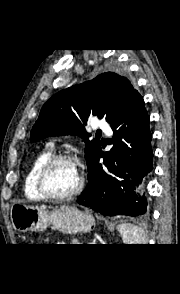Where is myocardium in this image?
<instances>
[{
    "mask_svg": "<svg viewBox=\"0 0 180 294\" xmlns=\"http://www.w3.org/2000/svg\"><path fill=\"white\" fill-rule=\"evenodd\" d=\"M61 162H69L76 166L79 173V182L77 187L72 190L71 192H68L66 194H54L47 190L46 188V177L50 170L58 163ZM85 186V177L82 174V172L79 170L76 159L68 154H58V155H52L38 170L37 176H36V188L39 192V194L49 200H55V201H61V200H68L71 198H74L78 196L84 189Z\"/></svg>",
    "mask_w": 180,
    "mask_h": 294,
    "instance_id": "f54148a6",
    "label": "myocardium"
}]
</instances>
